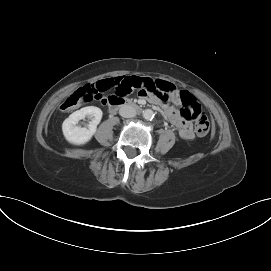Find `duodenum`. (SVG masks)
I'll return each instance as SVG.
<instances>
[{"instance_id": "obj_1", "label": "duodenum", "mask_w": 271, "mask_h": 271, "mask_svg": "<svg viewBox=\"0 0 271 271\" xmlns=\"http://www.w3.org/2000/svg\"><path fill=\"white\" fill-rule=\"evenodd\" d=\"M125 106L131 107V108L135 109L136 111L141 110V107L138 104H136L130 100H127V99H123L122 101H117L116 97H114V98L110 99L108 102V107H109L110 112H114L117 109H119L121 107H125Z\"/></svg>"}]
</instances>
